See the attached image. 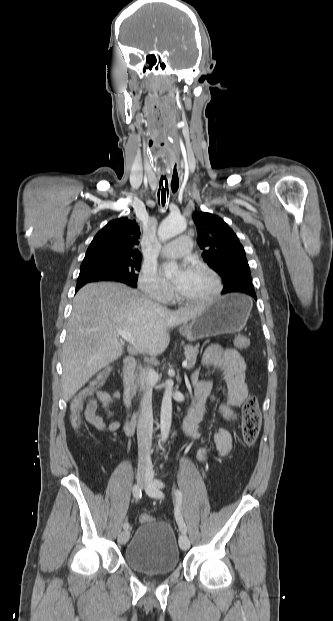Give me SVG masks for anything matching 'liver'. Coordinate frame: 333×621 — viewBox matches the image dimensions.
<instances>
[{
    "instance_id": "1",
    "label": "liver",
    "mask_w": 333,
    "mask_h": 621,
    "mask_svg": "<svg viewBox=\"0 0 333 621\" xmlns=\"http://www.w3.org/2000/svg\"><path fill=\"white\" fill-rule=\"evenodd\" d=\"M205 304L170 311L120 283H90L76 294L62 355V392L69 401L99 370L124 352L117 329L152 354L169 345V330L197 317ZM132 344V343H131Z\"/></svg>"
}]
</instances>
